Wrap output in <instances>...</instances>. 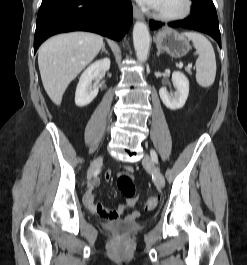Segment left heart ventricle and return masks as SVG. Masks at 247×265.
I'll use <instances>...</instances> for the list:
<instances>
[{"instance_id":"1","label":"left heart ventricle","mask_w":247,"mask_h":265,"mask_svg":"<svg viewBox=\"0 0 247 265\" xmlns=\"http://www.w3.org/2000/svg\"><path fill=\"white\" fill-rule=\"evenodd\" d=\"M183 5V0H159L157 10L164 13H176L178 12Z\"/></svg>"}]
</instances>
